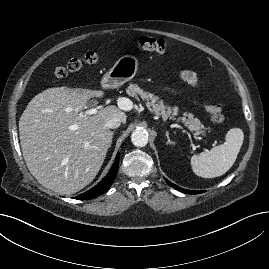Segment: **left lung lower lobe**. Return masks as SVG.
Masks as SVG:
<instances>
[{
	"label": "left lung lower lobe",
	"instance_id": "0a47b994",
	"mask_svg": "<svg viewBox=\"0 0 269 269\" xmlns=\"http://www.w3.org/2000/svg\"><path fill=\"white\" fill-rule=\"evenodd\" d=\"M166 182L172 186L173 188H175L176 190L180 191V192H183V193H186V194H199V193H202L203 191H191V190H186V189H183V188H180L178 187L177 185L171 183L170 181H168L167 179H165Z\"/></svg>",
	"mask_w": 269,
	"mask_h": 269
}]
</instances>
